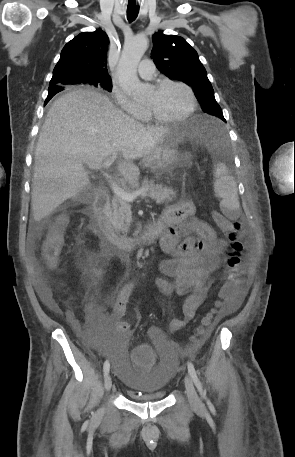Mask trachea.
<instances>
[{
  "instance_id": "3493384b",
  "label": "trachea",
  "mask_w": 295,
  "mask_h": 457,
  "mask_svg": "<svg viewBox=\"0 0 295 457\" xmlns=\"http://www.w3.org/2000/svg\"><path fill=\"white\" fill-rule=\"evenodd\" d=\"M138 13H139V9L137 8V6L135 4L133 6L128 5L127 19L129 22H133L137 18Z\"/></svg>"
}]
</instances>
